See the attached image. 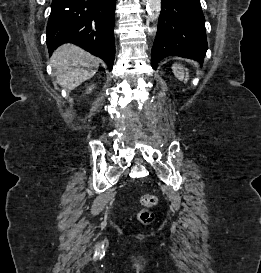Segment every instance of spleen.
Masks as SVG:
<instances>
[{
  "label": "spleen",
  "instance_id": "spleen-1",
  "mask_svg": "<svg viewBox=\"0 0 261 273\" xmlns=\"http://www.w3.org/2000/svg\"><path fill=\"white\" fill-rule=\"evenodd\" d=\"M172 70L174 75L180 80L184 81V83H187L189 80V72L187 69L181 67L179 64H174L172 66Z\"/></svg>",
  "mask_w": 261,
  "mask_h": 273
}]
</instances>
